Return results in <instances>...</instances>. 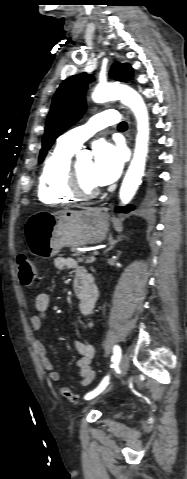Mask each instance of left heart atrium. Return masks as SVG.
I'll use <instances>...</instances> for the list:
<instances>
[{
	"instance_id": "left-heart-atrium-1",
	"label": "left heart atrium",
	"mask_w": 187,
	"mask_h": 479,
	"mask_svg": "<svg viewBox=\"0 0 187 479\" xmlns=\"http://www.w3.org/2000/svg\"><path fill=\"white\" fill-rule=\"evenodd\" d=\"M124 163L120 148L101 140L93 146L92 179L97 186L114 182L121 174Z\"/></svg>"
}]
</instances>
